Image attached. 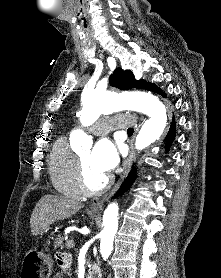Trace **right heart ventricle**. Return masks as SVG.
<instances>
[{
	"mask_svg": "<svg viewBox=\"0 0 221 278\" xmlns=\"http://www.w3.org/2000/svg\"><path fill=\"white\" fill-rule=\"evenodd\" d=\"M50 180L57 192L81 199V191L76 178V154L65 137H59L53 144L48 156Z\"/></svg>",
	"mask_w": 221,
	"mask_h": 278,
	"instance_id": "obj_1",
	"label": "right heart ventricle"
}]
</instances>
